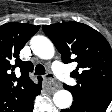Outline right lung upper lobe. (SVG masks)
Masks as SVG:
<instances>
[{"label": "right lung upper lobe", "mask_w": 112, "mask_h": 112, "mask_svg": "<svg viewBox=\"0 0 112 112\" xmlns=\"http://www.w3.org/2000/svg\"><path fill=\"white\" fill-rule=\"evenodd\" d=\"M40 26L10 22L0 26V112H24L41 90L42 78L29 77L33 65L19 58L25 43ZM20 71L16 76L15 69Z\"/></svg>", "instance_id": "right-lung-upper-lobe-1"}]
</instances>
